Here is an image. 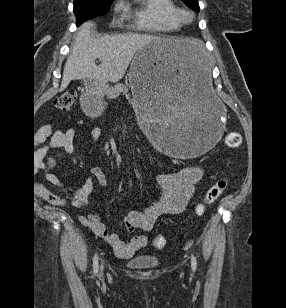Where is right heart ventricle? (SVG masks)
Segmentation results:
<instances>
[{"label": "right heart ventricle", "mask_w": 286, "mask_h": 308, "mask_svg": "<svg viewBox=\"0 0 286 308\" xmlns=\"http://www.w3.org/2000/svg\"><path fill=\"white\" fill-rule=\"evenodd\" d=\"M179 7L174 0H140L124 8L131 26L150 33H170L181 29L177 13Z\"/></svg>", "instance_id": "right-heart-ventricle-1"}]
</instances>
